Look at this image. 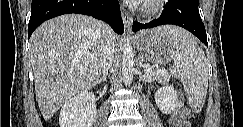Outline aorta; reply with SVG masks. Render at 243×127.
<instances>
[{
	"instance_id": "1",
	"label": "aorta",
	"mask_w": 243,
	"mask_h": 127,
	"mask_svg": "<svg viewBox=\"0 0 243 127\" xmlns=\"http://www.w3.org/2000/svg\"><path fill=\"white\" fill-rule=\"evenodd\" d=\"M134 70L133 48L130 42V38L127 37L123 46L122 55V74L123 81L126 86L132 83Z\"/></svg>"
}]
</instances>
